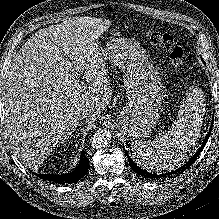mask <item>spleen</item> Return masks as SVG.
Segmentation results:
<instances>
[{
  "label": "spleen",
  "instance_id": "3e777b00",
  "mask_svg": "<svg viewBox=\"0 0 219 219\" xmlns=\"http://www.w3.org/2000/svg\"><path fill=\"white\" fill-rule=\"evenodd\" d=\"M203 112V98L197 89L191 88L169 131L160 133L153 141H132V154L137 163L153 172H165L179 166L196 144Z\"/></svg>",
  "mask_w": 219,
  "mask_h": 219
}]
</instances>
